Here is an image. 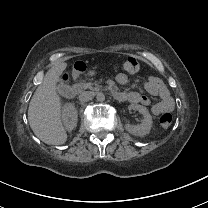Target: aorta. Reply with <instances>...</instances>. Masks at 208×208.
I'll return each instance as SVG.
<instances>
[{
    "label": "aorta",
    "mask_w": 208,
    "mask_h": 208,
    "mask_svg": "<svg viewBox=\"0 0 208 208\" xmlns=\"http://www.w3.org/2000/svg\"><path fill=\"white\" fill-rule=\"evenodd\" d=\"M96 99H97L98 102L103 103V102L106 101L107 96H106L105 93L100 92V93L97 94Z\"/></svg>",
    "instance_id": "aorta-1"
}]
</instances>
